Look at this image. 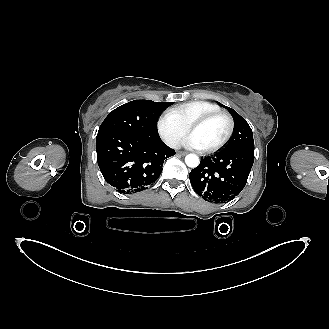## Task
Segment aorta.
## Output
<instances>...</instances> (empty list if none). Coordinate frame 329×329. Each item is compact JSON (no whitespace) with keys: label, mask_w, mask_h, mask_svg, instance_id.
Instances as JSON below:
<instances>
[{"label":"aorta","mask_w":329,"mask_h":329,"mask_svg":"<svg viewBox=\"0 0 329 329\" xmlns=\"http://www.w3.org/2000/svg\"><path fill=\"white\" fill-rule=\"evenodd\" d=\"M185 163L190 168H196L200 164L199 157L196 154H188L185 157Z\"/></svg>","instance_id":"aorta-1"}]
</instances>
